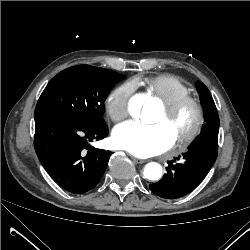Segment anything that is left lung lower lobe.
Returning <instances> with one entry per match:
<instances>
[{
	"label": "left lung lower lobe",
	"mask_w": 250,
	"mask_h": 250,
	"mask_svg": "<svg viewBox=\"0 0 250 250\" xmlns=\"http://www.w3.org/2000/svg\"><path fill=\"white\" fill-rule=\"evenodd\" d=\"M218 154V130L202 133L197 137L180 162L169 161L163 178L150 184L156 195L176 199L193 190L207 175ZM177 158V160H179Z\"/></svg>",
	"instance_id": "left-lung-lower-lobe-1"
}]
</instances>
